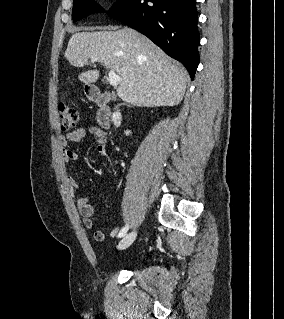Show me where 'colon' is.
I'll use <instances>...</instances> for the list:
<instances>
[{"mask_svg": "<svg viewBox=\"0 0 284 319\" xmlns=\"http://www.w3.org/2000/svg\"><path fill=\"white\" fill-rule=\"evenodd\" d=\"M61 129L64 131L75 127L78 121V110L75 104L61 102L58 106Z\"/></svg>", "mask_w": 284, "mask_h": 319, "instance_id": "colon-1", "label": "colon"}]
</instances>
